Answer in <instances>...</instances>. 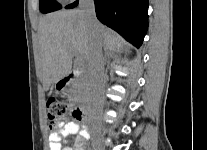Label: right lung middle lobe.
Instances as JSON below:
<instances>
[{
    "label": "right lung middle lobe",
    "instance_id": "right-lung-middle-lobe-1",
    "mask_svg": "<svg viewBox=\"0 0 207 150\" xmlns=\"http://www.w3.org/2000/svg\"><path fill=\"white\" fill-rule=\"evenodd\" d=\"M39 5L42 13H49L62 8V5L55 0H40Z\"/></svg>",
    "mask_w": 207,
    "mask_h": 150
}]
</instances>
